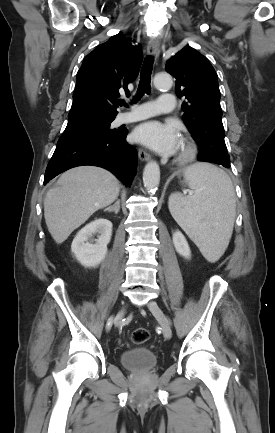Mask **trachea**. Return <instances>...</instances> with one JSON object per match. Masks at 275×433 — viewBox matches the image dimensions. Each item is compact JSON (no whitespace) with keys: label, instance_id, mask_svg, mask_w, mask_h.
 Instances as JSON below:
<instances>
[{"label":"trachea","instance_id":"trachea-1","mask_svg":"<svg viewBox=\"0 0 275 433\" xmlns=\"http://www.w3.org/2000/svg\"><path fill=\"white\" fill-rule=\"evenodd\" d=\"M152 66H153V58L147 57L141 69L139 88H138L137 95L134 98V101L139 100L140 97L145 93L146 94L150 93ZM118 104L120 106L126 105V103L123 100L119 101Z\"/></svg>","mask_w":275,"mask_h":433}]
</instances>
